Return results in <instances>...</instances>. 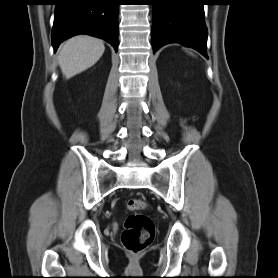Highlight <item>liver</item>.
I'll return each instance as SVG.
<instances>
[{"mask_svg":"<svg viewBox=\"0 0 278 278\" xmlns=\"http://www.w3.org/2000/svg\"><path fill=\"white\" fill-rule=\"evenodd\" d=\"M102 40L88 35H78L65 41L60 48L58 63L66 79L92 67L103 55Z\"/></svg>","mask_w":278,"mask_h":278,"instance_id":"6515ba94","label":"liver"}]
</instances>
